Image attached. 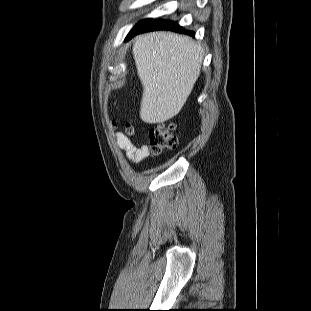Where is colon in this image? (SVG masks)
Listing matches in <instances>:
<instances>
[{
	"mask_svg": "<svg viewBox=\"0 0 311 311\" xmlns=\"http://www.w3.org/2000/svg\"><path fill=\"white\" fill-rule=\"evenodd\" d=\"M173 130V125H157L150 130V146L154 154H159L164 150H172L177 147L178 139L173 134ZM126 131L132 133L133 129L127 126Z\"/></svg>",
	"mask_w": 311,
	"mask_h": 311,
	"instance_id": "5ec220e1",
	"label": "colon"
}]
</instances>
